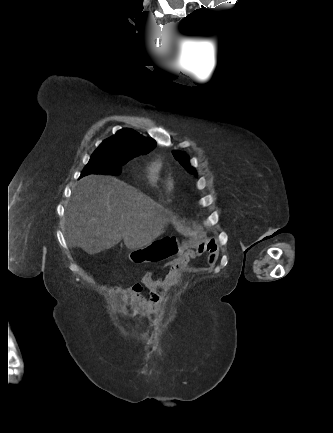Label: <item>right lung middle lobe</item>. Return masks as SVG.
<instances>
[{
  "label": "right lung middle lobe",
  "mask_w": 333,
  "mask_h": 433,
  "mask_svg": "<svg viewBox=\"0 0 333 433\" xmlns=\"http://www.w3.org/2000/svg\"><path fill=\"white\" fill-rule=\"evenodd\" d=\"M135 155L116 154L105 149L97 148L92 154L88 164L83 169L81 176L88 174H106L119 175L122 171V166Z\"/></svg>",
  "instance_id": "right-lung-middle-lobe-1"
}]
</instances>
